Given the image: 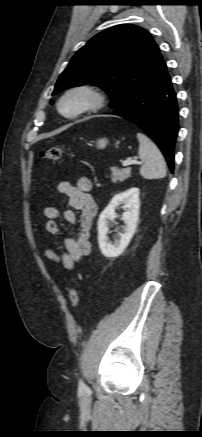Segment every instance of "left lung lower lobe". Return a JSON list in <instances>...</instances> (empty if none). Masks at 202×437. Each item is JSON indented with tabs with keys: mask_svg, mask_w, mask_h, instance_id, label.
<instances>
[{
	"mask_svg": "<svg viewBox=\"0 0 202 437\" xmlns=\"http://www.w3.org/2000/svg\"><path fill=\"white\" fill-rule=\"evenodd\" d=\"M112 114L128 119L147 133L173 173L179 120L177 98L166 64L154 79L116 107Z\"/></svg>",
	"mask_w": 202,
	"mask_h": 437,
	"instance_id": "1",
	"label": "left lung lower lobe"
}]
</instances>
